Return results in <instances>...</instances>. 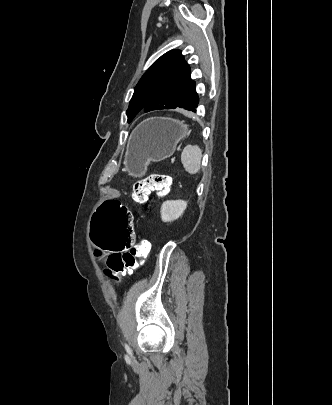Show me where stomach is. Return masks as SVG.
<instances>
[{"label":"stomach","instance_id":"0dacf381","mask_svg":"<svg viewBox=\"0 0 332 405\" xmlns=\"http://www.w3.org/2000/svg\"><path fill=\"white\" fill-rule=\"evenodd\" d=\"M190 131L182 122L166 118H149L139 124L130 136L125 155V169L134 177H142L150 162L171 157L176 145Z\"/></svg>","mask_w":332,"mask_h":405}]
</instances>
